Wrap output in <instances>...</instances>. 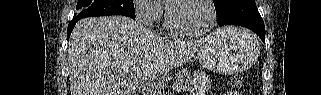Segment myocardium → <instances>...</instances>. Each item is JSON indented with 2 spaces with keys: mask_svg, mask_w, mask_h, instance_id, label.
<instances>
[{
  "mask_svg": "<svg viewBox=\"0 0 321 95\" xmlns=\"http://www.w3.org/2000/svg\"><path fill=\"white\" fill-rule=\"evenodd\" d=\"M186 1H190V0H173V1H170L166 5L165 24H166L167 29L171 33H173L174 35L182 36V37H197V36H202V35L208 33L212 29V27L214 26L216 19H217V11H216L213 0H202L204 3L207 4V6L209 7V10H210V20L205 28L198 30V31H192V30L180 29L177 26H175L173 19H172L171 9L175 5L182 3V2H186Z\"/></svg>",
  "mask_w": 321,
  "mask_h": 95,
  "instance_id": "1",
  "label": "myocardium"
}]
</instances>
